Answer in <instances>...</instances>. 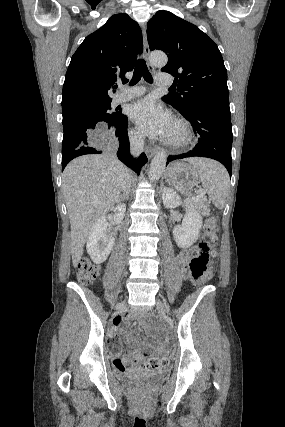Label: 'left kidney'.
<instances>
[{"label": "left kidney", "mask_w": 285, "mask_h": 427, "mask_svg": "<svg viewBox=\"0 0 285 427\" xmlns=\"http://www.w3.org/2000/svg\"><path fill=\"white\" fill-rule=\"evenodd\" d=\"M162 199L166 208H176L182 204L187 206L182 224L173 228V237L179 247H190L198 238L202 226V217L187 201L183 202L171 188L163 189Z\"/></svg>", "instance_id": "5707ae66"}]
</instances>
